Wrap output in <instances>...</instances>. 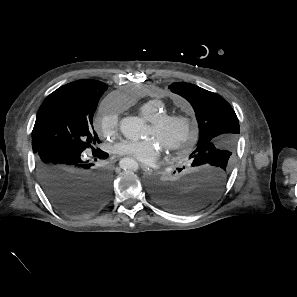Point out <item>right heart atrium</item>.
I'll use <instances>...</instances> for the list:
<instances>
[{
  "mask_svg": "<svg viewBox=\"0 0 297 297\" xmlns=\"http://www.w3.org/2000/svg\"><path fill=\"white\" fill-rule=\"evenodd\" d=\"M121 110L122 106L113 96H107L102 101L96 116V125L103 136L112 138L116 135Z\"/></svg>",
  "mask_w": 297,
  "mask_h": 297,
  "instance_id": "obj_1",
  "label": "right heart atrium"
}]
</instances>
